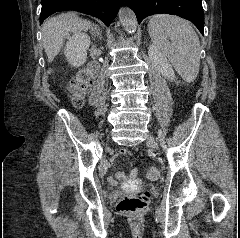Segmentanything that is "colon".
<instances>
[{
	"mask_svg": "<svg viewBox=\"0 0 240 238\" xmlns=\"http://www.w3.org/2000/svg\"><path fill=\"white\" fill-rule=\"evenodd\" d=\"M98 69L96 65L91 64L81 69L70 81L69 95L72 104L80 108L87 96V93L96 77ZM160 170L157 167H150L147 170V177L151 180L158 179ZM149 194L140 192L137 194H128L123 196L117 204V209L126 214H137L141 212L148 204Z\"/></svg>",
	"mask_w": 240,
	"mask_h": 238,
	"instance_id": "colon-1",
	"label": "colon"
}]
</instances>
